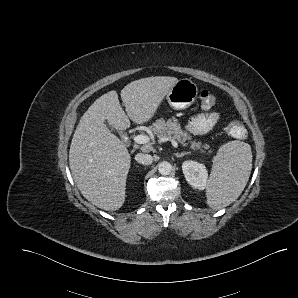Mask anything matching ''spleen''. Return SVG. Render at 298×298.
Masks as SVG:
<instances>
[{
  "label": "spleen",
  "mask_w": 298,
  "mask_h": 298,
  "mask_svg": "<svg viewBox=\"0 0 298 298\" xmlns=\"http://www.w3.org/2000/svg\"><path fill=\"white\" fill-rule=\"evenodd\" d=\"M251 170L252 151L248 143L234 140L220 146L206 182L207 205L219 210L234 202L243 192Z\"/></svg>",
  "instance_id": "obj_1"
}]
</instances>
